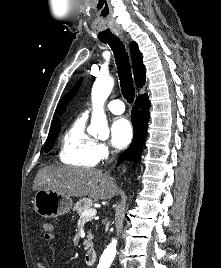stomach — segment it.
Here are the masks:
<instances>
[{"mask_svg":"<svg viewBox=\"0 0 221 268\" xmlns=\"http://www.w3.org/2000/svg\"><path fill=\"white\" fill-rule=\"evenodd\" d=\"M36 212L45 218H55L68 213L73 205L70 196L55 191L40 189L33 198Z\"/></svg>","mask_w":221,"mask_h":268,"instance_id":"obj_1","label":"stomach"}]
</instances>
